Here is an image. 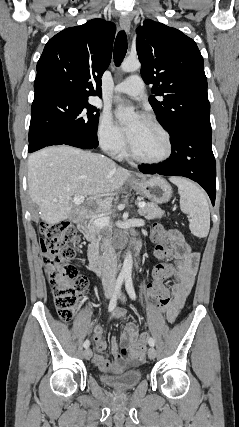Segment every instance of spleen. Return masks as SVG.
I'll list each match as a JSON object with an SVG mask.
<instances>
[{
  "mask_svg": "<svg viewBox=\"0 0 239 427\" xmlns=\"http://www.w3.org/2000/svg\"><path fill=\"white\" fill-rule=\"evenodd\" d=\"M170 181L178 187L180 208L190 218L191 233L198 238L207 237L210 229V211L204 192L185 178L172 177Z\"/></svg>",
  "mask_w": 239,
  "mask_h": 427,
  "instance_id": "spleen-1",
  "label": "spleen"
}]
</instances>
